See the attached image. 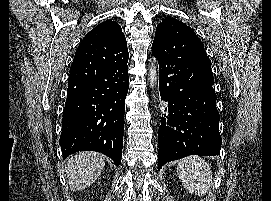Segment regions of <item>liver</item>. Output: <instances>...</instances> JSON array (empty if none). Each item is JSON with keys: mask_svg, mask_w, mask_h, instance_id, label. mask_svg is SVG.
Segmentation results:
<instances>
[{"mask_svg": "<svg viewBox=\"0 0 271 201\" xmlns=\"http://www.w3.org/2000/svg\"><path fill=\"white\" fill-rule=\"evenodd\" d=\"M105 165L103 155L96 152H79L65 164V175L72 191H80L95 182Z\"/></svg>", "mask_w": 271, "mask_h": 201, "instance_id": "liver-1", "label": "liver"}]
</instances>
